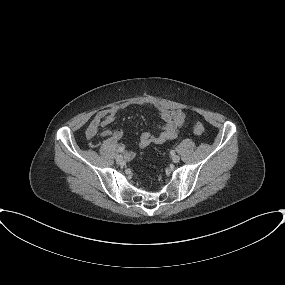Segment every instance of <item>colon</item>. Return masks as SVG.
<instances>
[{
    "label": "colon",
    "instance_id": "obj_1",
    "mask_svg": "<svg viewBox=\"0 0 285 285\" xmlns=\"http://www.w3.org/2000/svg\"><path fill=\"white\" fill-rule=\"evenodd\" d=\"M193 131L197 135H202L205 132V129L201 123H195L193 126Z\"/></svg>",
    "mask_w": 285,
    "mask_h": 285
}]
</instances>
